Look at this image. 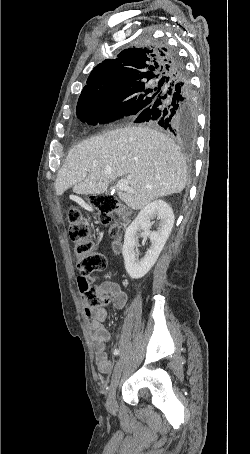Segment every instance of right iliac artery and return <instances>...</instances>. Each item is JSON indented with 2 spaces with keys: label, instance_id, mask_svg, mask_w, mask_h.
<instances>
[{
  "label": "right iliac artery",
  "instance_id": "right-iliac-artery-1",
  "mask_svg": "<svg viewBox=\"0 0 250 454\" xmlns=\"http://www.w3.org/2000/svg\"><path fill=\"white\" fill-rule=\"evenodd\" d=\"M113 353H114L115 356H117V355H119V350L115 349Z\"/></svg>",
  "mask_w": 250,
  "mask_h": 454
}]
</instances>
